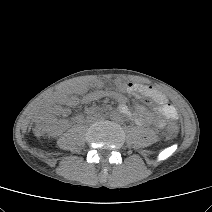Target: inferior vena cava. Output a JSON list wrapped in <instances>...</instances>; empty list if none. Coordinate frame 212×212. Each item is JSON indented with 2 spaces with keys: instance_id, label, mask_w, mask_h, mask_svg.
Here are the masks:
<instances>
[{
  "instance_id": "602c4592",
  "label": "inferior vena cava",
  "mask_w": 212,
  "mask_h": 212,
  "mask_svg": "<svg viewBox=\"0 0 212 212\" xmlns=\"http://www.w3.org/2000/svg\"><path fill=\"white\" fill-rule=\"evenodd\" d=\"M90 119H91V121L96 122V121H98L99 116H98V114L93 113V114H91Z\"/></svg>"
}]
</instances>
